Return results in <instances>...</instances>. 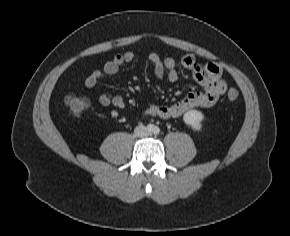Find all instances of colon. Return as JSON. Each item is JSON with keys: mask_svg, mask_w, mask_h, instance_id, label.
<instances>
[{"mask_svg": "<svg viewBox=\"0 0 290 236\" xmlns=\"http://www.w3.org/2000/svg\"><path fill=\"white\" fill-rule=\"evenodd\" d=\"M226 96L229 100L235 101L238 98L239 93L236 89H229ZM64 101L73 116L81 115L90 105L89 100L86 97L73 93L66 95Z\"/></svg>", "mask_w": 290, "mask_h": 236, "instance_id": "colon-1", "label": "colon"}]
</instances>
